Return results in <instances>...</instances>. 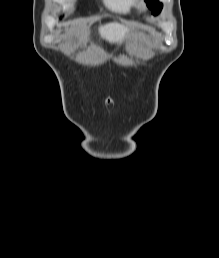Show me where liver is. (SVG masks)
<instances>
[{
	"label": "liver",
	"mask_w": 219,
	"mask_h": 258,
	"mask_svg": "<svg viewBox=\"0 0 219 258\" xmlns=\"http://www.w3.org/2000/svg\"><path fill=\"white\" fill-rule=\"evenodd\" d=\"M99 33L103 39L110 43L122 42L129 35L130 29L122 24L112 22L101 26Z\"/></svg>",
	"instance_id": "1"
}]
</instances>
